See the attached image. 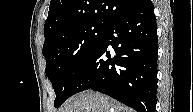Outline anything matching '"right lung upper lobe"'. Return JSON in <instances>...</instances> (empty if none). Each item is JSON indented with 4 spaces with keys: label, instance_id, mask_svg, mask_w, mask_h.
Returning a JSON list of instances; mask_svg holds the SVG:
<instances>
[{
    "label": "right lung upper lobe",
    "instance_id": "right-lung-upper-lobe-1",
    "mask_svg": "<svg viewBox=\"0 0 193 112\" xmlns=\"http://www.w3.org/2000/svg\"><path fill=\"white\" fill-rule=\"evenodd\" d=\"M141 0H51L44 25L45 42L59 31L80 23L107 26Z\"/></svg>",
    "mask_w": 193,
    "mask_h": 112
}]
</instances>
